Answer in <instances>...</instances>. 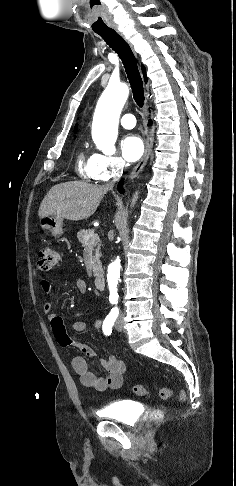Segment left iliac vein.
<instances>
[{
  "mask_svg": "<svg viewBox=\"0 0 236 486\" xmlns=\"http://www.w3.org/2000/svg\"><path fill=\"white\" fill-rule=\"evenodd\" d=\"M115 328L117 331H122L123 325H122V316L120 315L115 323Z\"/></svg>",
  "mask_w": 236,
  "mask_h": 486,
  "instance_id": "obj_1",
  "label": "left iliac vein"
}]
</instances>
